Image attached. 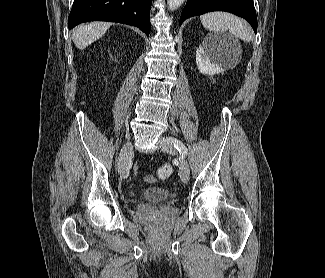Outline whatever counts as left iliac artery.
I'll list each match as a JSON object with an SVG mask.
<instances>
[{"label": "left iliac artery", "instance_id": "44dca946", "mask_svg": "<svg viewBox=\"0 0 325 278\" xmlns=\"http://www.w3.org/2000/svg\"><path fill=\"white\" fill-rule=\"evenodd\" d=\"M167 140L173 143V145L176 147V149L179 151L180 154L187 155L188 150L181 141L171 137L167 138Z\"/></svg>", "mask_w": 325, "mask_h": 278}]
</instances>
